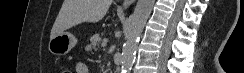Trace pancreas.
<instances>
[{"instance_id": "pancreas-1", "label": "pancreas", "mask_w": 244, "mask_h": 73, "mask_svg": "<svg viewBox=\"0 0 244 73\" xmlns=\"http://www.w3.org/2000/svg\"><path fill=\"white\" fill-rule=\"evenodd\" d=\"M102 39L98 34L93 35L90 38V43L85 47V50L87 52H92V50L96 51L97 48L99 47Z\"/></svg>"}]
</instances>
